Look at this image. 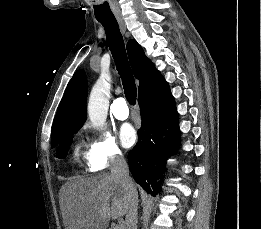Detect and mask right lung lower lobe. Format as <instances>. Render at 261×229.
<instances>
[{
  "instance_id": "obj_1",
  "label": "right lung lower lobe",
  "mask_w": 261,
  "mask_h": 229,
  "mask_svg": "<svg viewBox=\"0 0 261 229\" xmlns=\"http://www.w3.org/2000/svg\"><path fill=\"white\" fill-rule=\"evenodd\" d=\"M142 127L138 143L129 151V168L135 181L149 194L160 193L166 160L179 146L180 132L175 101L163 78L138 95Z\"/></svg>"
}]
</instances>
